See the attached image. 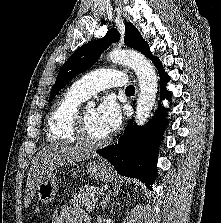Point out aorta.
<instances>
[{
    "instance_id": "1",
    "label": "aorta",
    "mask_w": 221,
    "mask_h": 223,
    "mask_svg": "<svg viewBox=\"0 0 221 223\" xmlns=\"http://www.w3.org/2000/svg\"><path fill=\"white\" fill-rule=\"evenodd\" d=\"M108 59L114 63L131 67L137 75L140 93L136 104V123L141 126L146 123L155 104L158 80L151 63L140 53L133 50H113ZM89 102V107H94Z\"/></svg>"
}]
</instances>
